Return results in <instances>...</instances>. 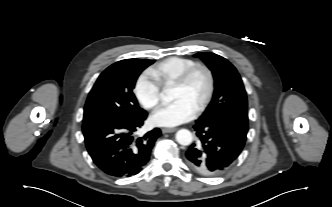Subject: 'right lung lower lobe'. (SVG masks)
Here are the masks:
<instances>
[{
    "instance_id": "98d812e1",
    "label": "right lung lower lobe",
    "mask_w": 332,
    "mask_h": 207,
    "mask_svg": "<svg viewBox=\"0 0 332 207\" xmlns=\"http://www.w3.org/2000/svg\"><path fill=\"white\" fill-rule=\"evenodd\" d=\"M145 111L129 120L98 119L83 124L82 131L87 150L94 163L114 177H130L138 174L150 159L158 128L135 139L132 134L143 125Z\"/></svg>"
}]
</instances>
